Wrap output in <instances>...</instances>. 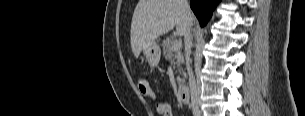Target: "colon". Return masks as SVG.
<instances>
[{
  "instance_id": "colon-1",
  "label": "colon",
  "mask_w": 305,
  "mask_h": 116,
  "mask_svg": "<svg viewBox=\"0 0 305 116\" xmlns=\"http://www.w3.org/2000/svg\"><path fill=\"white\" fill-rule=\"evenodd\" d=\"M137 88L144 98L153 102L155 106L158 104L159 98L157 97L147 79L139 77L137 79Z\"/></svg>"
}]
</instances>
